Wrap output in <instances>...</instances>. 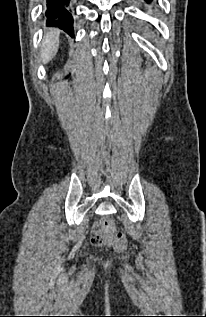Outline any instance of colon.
I'll list each match as a JSON object with an SVG mask.
<instances>
[{
	"label": "colon",
	"instance_id": "colon-1",
	"mask_svg": "<svg viewBox=\"0 0 206 317\" xmlns=\"http://www.w3.org/2000/svg\"><path fill=\"white\" fill-rule=\"evenodd\" d=\"M91 241L96 246L111 245L116 250L126 248L127 240L123 233L115 229L111 219H103L91 235Z\"/></svg>",
	"mask_w": 206,
	"mask_h": 317
}]
</instances>
